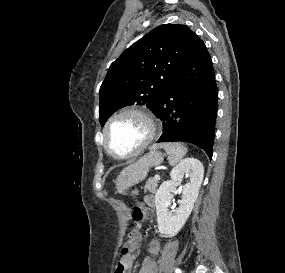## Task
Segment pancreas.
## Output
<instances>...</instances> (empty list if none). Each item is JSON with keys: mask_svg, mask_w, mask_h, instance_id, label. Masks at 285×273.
<instances>
[{"mask_svg": "<svg viewBox=\"0 0 285 273\" xmlns=\"http://www.w3.org/2000/svg\"><path fill=\"white\" fill-rule=\"evenodd\" d=\"M157 186H158V180L150 178L147 180L145 184L144 192L149 191L151 193H155Z\"/></svg>", "mask_w": 285, "mask_h": 273, "instance_id": "pancreas-1", "label": "pancreas"}]
</instances>
